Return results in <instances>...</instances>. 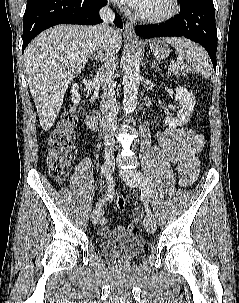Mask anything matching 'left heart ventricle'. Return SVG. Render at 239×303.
<instances>
[{
    "label": "left heart ventricle",
    "instance_id": "obj_1",
    "mask_svg": "<svg viewBox=\"0 0 239 303\" xmlns=\"http://www.w3.org/2000/svg\"><path fill=\"white\" fill-rule=\"evenodd\" d=\"M170 8L169 0H147L145 6L139 10L143 14H160Z\"/></svg>",
    "mask_w": 239,
    "mask_h": 303
}]
</instances>
